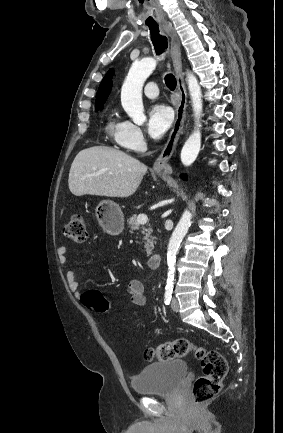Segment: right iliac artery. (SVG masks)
I'll list each match as a JSON object with an SVG mask.
<instances>
[{"mask_svg":"<svg viewBox=\"0 0 283 433\" xmlns=\"http://www.w3.org/2000/svg\"><path fill=\"white\" fill-rule=\"evenodd\" d=\"M172 292H173V288L171 287H167L166 288V292H165V298H164V302L166 305L170 304L171 298H172Z\"/></svg>","mask_w":283,"mask_h":433,"instance_id":"1","label":"right iliac artery"}]
</instances>
